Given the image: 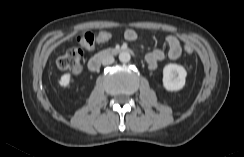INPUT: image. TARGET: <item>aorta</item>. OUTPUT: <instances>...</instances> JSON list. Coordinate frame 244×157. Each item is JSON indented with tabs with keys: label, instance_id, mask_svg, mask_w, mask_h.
I'll list each match as a JSON object with an SVG mask.
<instances>
[{
	"label": "aorta",
	"instance_id": "aorta-1",
	"mask_svg": "<svg viewBox=\"0 0 244 157\" xmlns=\"http://www.w3.org/2000/svg\"><path fill=\"white\" fill-rule=\"evenodd\" d=\"M130 59H131V56H130V54L128 53V52H121L120 54H119V60H120V62H122V63H127V62H129L130 61Z\"/></svg>",
	"mask_w": 244,
	"mask_h": 157
}]
</instances>
